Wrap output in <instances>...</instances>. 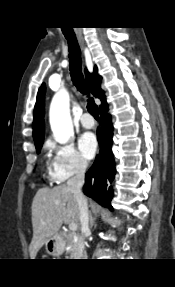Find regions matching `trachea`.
Here are the masks:
<instances>
[{
	"label": "trachea",
	"instance_id": "3493384b",
	"mask_svg": "<svg viewBox=\"0 0 175 287\" xmlns=\"http://www.w3.org/2000/svg\"><path fill=\"white\" fill-rule=\"evenodd\" d=\"M65 37L67 39L69 47L70 73L73 83L81 93L85 94L88 90L85 86V81L82 74V59L80 47L78 45L76 37ZM87 109L96 120L99 119L98 106L95 104L93 98L88 99Z\"/></svg>",
	"mask_w": 175,
	"mask_h": 287
}]
</instances>
